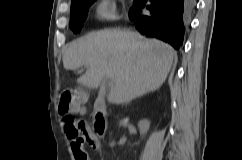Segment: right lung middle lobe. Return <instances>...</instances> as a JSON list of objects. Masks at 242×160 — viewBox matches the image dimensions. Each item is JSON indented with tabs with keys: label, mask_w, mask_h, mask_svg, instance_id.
<instances>
[{
	"label": "right lung middle lobe",
	"mask_w": 242,
	"mask_h": 160,
	"mask_svg": "<svg viewBox=\"0 0 242 160\" xmlns=\"http://www.w3.org/2000/svg\"><path fill=\"white\" fill-rule=\"evenodd\" d=\"M95 0H77L71 2L70 27L74 33L80 32L86 18L88 8Z\"/></svg>",
	"instance_id": "1"
}]
</instances>
